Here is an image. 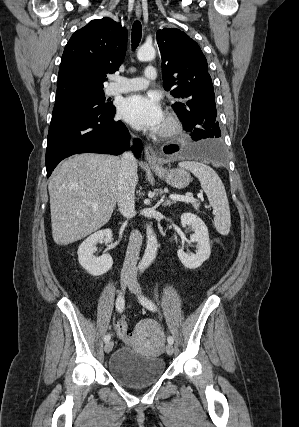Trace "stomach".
I'll list each match as a JSON object with an SVG mask.
<instances>
[{
  "label": "stomach",
  "instance_id": "obj_1",
  "mask_svg": "<svg viewBox=\"0 0 299 427\" xmlns=\"http://www.w3.org/2000/svg\"><path fill=\"white\" fill-rule=\"evenodd\" d=\"M151 168L158 177L174 188L183 189L191 182L190 174L183 169L166 170L162 166H152Z\"/></svg>",
  "mask_w": 299,
  "mask_h": 427
}]
</instances>
